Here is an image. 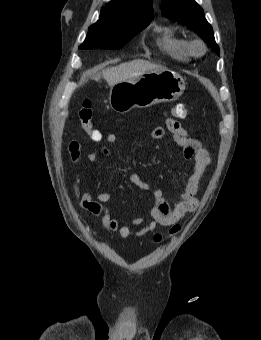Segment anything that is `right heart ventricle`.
<instances>
[{"instance_id":"right-heart-ventricle-1","label":"right heart ventricle","mask_w":261,"mask_h":340,"mask_svg":"<svg viewBox=\"0 0 261 340\" xmlns=\"http://www.w3.org/2000/svg\"><path fill=\"white\" fill-rule=\"evenodd\" d=\"M157 44L162 52L179 61H186L192 55L190 42L169 27L161 31Z\"/></svg>"}]
</instances>
